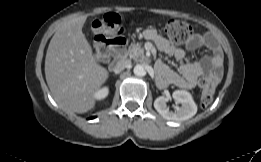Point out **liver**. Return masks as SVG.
Instances as JSON below:
<instances>
[{
  "mask_svg": "<svg viewBox=\"0 0 261 162\" xmlns=\"http://www.w3.org/2000/svg\"><path fill=\"white\" fill-rule=\"evenodd\" d=\"M86 16L65 21L53 35L45 58V76L55 101L64 109L85 113L108 78L94 59L82 32Z\"/></svg>",
  "mask_w": 261,
  "mask_h": 162,
  "instance_id": "1",
  "label": "liver"
}]
</instances>
